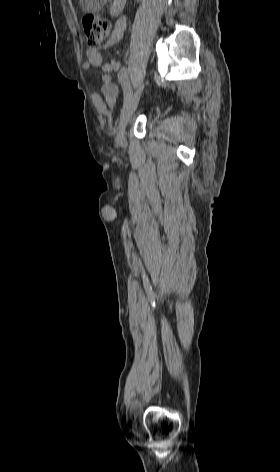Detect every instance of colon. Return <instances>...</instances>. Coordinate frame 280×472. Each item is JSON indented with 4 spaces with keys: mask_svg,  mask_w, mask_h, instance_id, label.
I'll use <instances>...</instances> for the list:
<instances>
[{
    "mask_svg": "<svg viewBox=\"0 0 280 472\" xmlns=\"http://www.w3.org/2000/svg\"><path fill=\"white\" fill-rule=\"evenodd\" d=\"M82 27L86 35L89 53L97 51L111 32L110 24L93 14L83 16Z\"/></svg>",
    "mask_w": 280,
    "mask_h": 472,
    "instance_id": "1",
    "label": "colon"
}]
</instances>
